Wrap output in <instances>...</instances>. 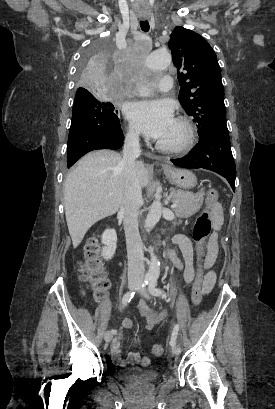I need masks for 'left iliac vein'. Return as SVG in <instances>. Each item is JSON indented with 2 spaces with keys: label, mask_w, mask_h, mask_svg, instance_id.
<instances>
[{
  "label": "left iliac vein",
  "mask_w": 275,
  "mask_h": 409,
  "mask_svg": "<svg viewBox=\"0 0 275 409\" xmlns=\"http://www.w3.org/2000/svg\"><path fill=\"white\" fill-rule=\"evenodd\" d=\"M139 292L143 297H145L147 299L150 298L146 289H141ZM180 352H181V350H180V347L178 345H175V346L172 347V354L173 355L178 356L180 354Z\"/></svg>",
  "instance_id": "1"
}]
</instances>
